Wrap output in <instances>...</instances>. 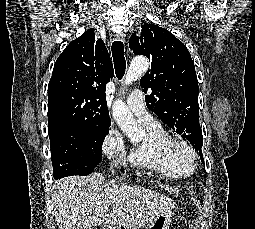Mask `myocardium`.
Segmentation results:
<instances>
[{"mask_svg":"<svg viewBox=\"0 0 255 229\" xmlns=\"http://www.w3.org/2000/svg\"><path fill=\"white\" fill-rule=\"evenodd\" d=\"M174 145L180 146L188 154V159L185 161H176L170 151V148ZM157 152L168 162L174 166L182 167H191L192 169L195 166L197 160V154L194 148L184 139L176 136L165 135L162 138L158 139L156 144Z\"/></svg>","mask_w":255,"mask_h":229,"instance_id":"1","label":"myocardium"}]
</instances>
